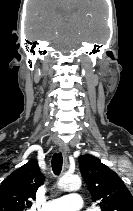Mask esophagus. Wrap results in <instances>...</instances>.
I'll list each match as a JSON object with an SVG mask.
<instances>
[{
    "mask_svg": "<svg viewBox=\"0 0 133 211\" xmlns=\"http://www.w3.org/2000/svg\"><path fill=\"white\" fill-rule=\"evenodd\" d=\"M59 152H61L62 155H63V158L65 160H67L68 155H69V148H68V146L67 145H64V144L60 145Z\"/></svg>",
    "mask_w": 133,
    "mask_h": 211,
    "instance_id": "1",
    "label": "esophagus"
}]
</instances>
